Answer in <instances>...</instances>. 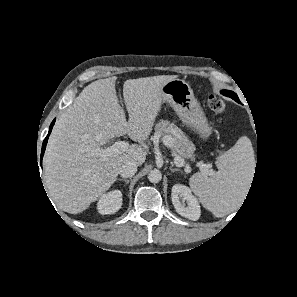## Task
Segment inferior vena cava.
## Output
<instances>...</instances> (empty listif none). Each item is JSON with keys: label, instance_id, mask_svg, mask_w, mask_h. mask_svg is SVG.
<instances>
[{"label": "inferior vena cava", "instance_id": "1", "mask_svg": "<svg viewBox=\"0 0 297 297\" xmlns=\"http://www.w3.org/2000/svg\"><path fill=\"white\" fill-rule=\"evenodd\" d=\"M137 171V164L134 161H126L119 169V174L123 178L132 177Z\"/></svg>", "mask_w": 297, "mask_h": 297}]
</instances>
